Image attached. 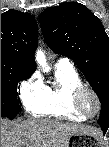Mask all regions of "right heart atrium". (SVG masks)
Returning a JSON list of instances; mask_svg holds the SVG:
<instances>
[{
  "label": "right heart atrium",
  "instance_id": "obj_1",
  "mask_svg": "<svg viewBox=\"0 0 109 147\" xmlns=\"http://www.w3.org/2000/svg\"><path fill=\"white\" fill-rule=\"evenodd\" d=\"M20 97L23 102H37L44 96V88L39 80L30 79L20 85Z\"/></svg>",
  "mask_w": 109,
  "mask_h": 147
}]
</instances>
